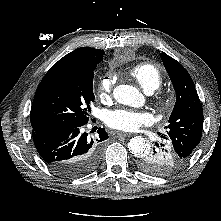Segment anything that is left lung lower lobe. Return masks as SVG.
<instances>
[{
	"label": "left lung lower lobe",
	"mask_w": 221,
	"mask_h": 221,
	"mask_svg": "<svg viewBox=\"0 0 221 221\" xmlns=\"http://www.w3.org/2000/svg\"><path fill=\"white\" fill-rule=\"evenodd\" d=\"M158 134L162 138L161 142L155 143L153 150L141 156L137 166L151 175L168 176L182 169L187 161L177 154L166 135Z\"/></svg>",
	"instance_id": "0a47b994"
}]
</instances>
